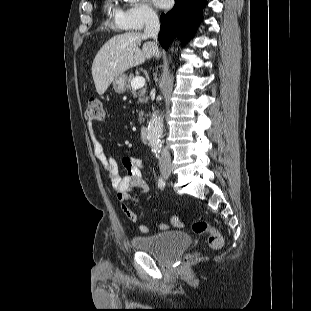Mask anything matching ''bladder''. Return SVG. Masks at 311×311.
Returning a JSON list of instances; mask_svg holds the SVG:
<instances>
[{
  "instance_id": "31cf9c89",
  "label": "bladder",
  "mask_w": 311,
  "mask_h": 311,
  "mask_svg": "<svg viewBox=\"0 0 311 311\" xmlns=\"http://www.w3.org/2000/svg\"><path fill=\"white\" fill-rule=\"evenodd\" d=\"M134 249L151 253L159 260L166 261L190 244V237L182 231L172 230L151 235H135L131 239Z\"/></svg>"
}]
</instances>
